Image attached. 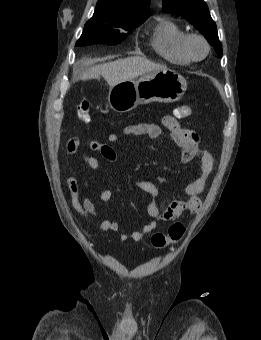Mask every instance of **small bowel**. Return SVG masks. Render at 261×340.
<instances>
[{"label":"small bowel","mask_w":261,"mask_h":340,"mask_svg":"<svg viewBox=\"0 0 261 340\" xmlns=\"http://www.w3.org/2000/svg\"><path fill=\"white\" fill-rule=\"evenodd\" d=\"M165 130L171 140L181 149V159L183 163H188L193 160L199 161L198 175L190 180L185 188L187 199L176 200L169 204L163 210L160 209L156 198L159 196V190L150 181L138 180L137 187L143 192L147 193L151 200L147 205V212L152 221L144 225L141 229L132 233L121 230L120 225L116 221L104 219L99 224V228L103 231L120 232V239L127 241H140L144 236L152 233L158 226L159 222L170 223L178 219L185 212L196 213L201 208V200L199 195L203 192L206 180L213 169L212 155L199 147V138L193 130L184 128L180 125L177 117L166 115L161 118V125L155 123H139L125 127L121 134L123 136H148L149 138L161 142ZM118 135L111 133L107 136L108 143H101L95 139H84L82 137H72L68 140L66 149L69 154H76L82 144H87L92 151H97L103 158L110 162L117 160V154L110 144L118 140ZM88 166L93 170L100 169V162L95 156L86 158ZM67 184L71 193V204L74 211L78 215H85L86 213L95 214L97 208L89 198L80 197L79 183L74 177L67 178ZM112 197V191L106 187L100 194L102 201H108ZM87 224H93L91 218L86 220Z\"/></svg>","instance_id":"obj_1"}]
</instances>
